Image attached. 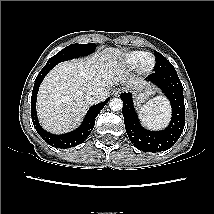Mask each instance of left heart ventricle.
I'll return each mask as SVG.
<instances>
[{"instance_id": "b2bd125f", "label": "left heart ventricle", "mask_w": 214, "mask_h": 214, "mask_svg": "<svg viewBox=\"0 0 214 214\" xmlns=\"http://www.w3.org/2000/svg\"><path fill=\"white\" fill-rule=\"evenodd\" d=\"M147 63H148V64L150 63V59L147 60Z\"/></svg>"}]
</instances>
